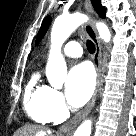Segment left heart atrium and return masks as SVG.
<instances>
[{
  "label": "left heart atrium",
  "instance_id": "obj_1",
  "mask_svg": "<svg viewBox=\"0 0 136 136\" xmlns=\"http://www.w3.org/2000/svg\"><path fill=\"white\" fill-rule=\"evenodd\" d=\"M95 87V74L88 63L73 67L66 83V95L74 107L84 105L91 97Z\"/></svg>",
  "mask_w": 136,
  "mask_h": 136
}]
</instances>
